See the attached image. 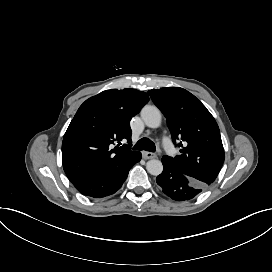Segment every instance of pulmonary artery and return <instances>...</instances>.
<instances>
[{
    "mask_svg": "<svg viewBox=\"0 0 272 272\" xmlns=\"http://www.w3.org/2000/svg\"><path fill=\"white\" fill-rule=\"evenodd\" d=\"M162 133L166 136H169L171 134V131L167 128H164L162 130ZM162 147L165 149V151L172 156L173 160L176 162L178 159L176 157L177 149L173 146L171 143V140L169 138H164L162 140Z\"/></svg>",
    "mask_w": 272,
    "mask_h": 272,
    "instance_id": "obj_1",
    "label": "pulmonary artery"
}]
</instances>
